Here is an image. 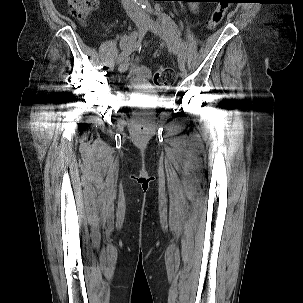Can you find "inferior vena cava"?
<instances>
[{"label": "inferior vena cava", "mask_w": 303, "mask_h": 303, "mask_svg": "<svg viewBox=\"0 0 303 303\" xmlns=\"http://www.w3.org/2000/svg\"><path fill=\"white\" fill-rule=\"evenodd\" d=\"M124 9L126 10L129 17L135 21L138 18H144V13L138 5V0H121Z\"/></svg>", "instance_id": "602c4592"}]
</instances>
